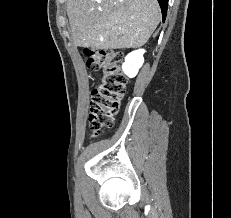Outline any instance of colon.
Here are the masks:
<instances>
[{
  "instance_id": "5ec220e1",
  "label": "colon",
  "mask_w": 231,
  "mask_h": 218,
  "mask_svg": "<svg viewBox=\"0 0 231 218\" xmlns=\"http://www.w3.org/2000/svg\"><path fill=\"white\" fill-rule=\"evenodd\" d=\"M86 66L100 71V81L92 91L88 123L93 136L111 127L126 89L121 70L122 54L114 50H85Z\"/></svg>"
}]
</instances>
